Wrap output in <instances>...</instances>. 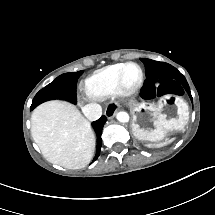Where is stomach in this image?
I'll list each match as a JSON object with an SVG mask.
<instances>
[{
    "label": "stomach",
    "mask_w": 215,
    "mask_h": 215,
    "mask_svg": "<svg viewBox=\"0 0 215 215\" xmlns=\"http://www.w3.org/2000/svg\"><path fill=\"white\" fill-rule=\"evenodd\" d=\"M129 105L133 135L146 143H168L170 136L188 123V105L180 96L166 95L156 102L131 101Z\"/></svg>",
    "instance_id": "obj_1"
}]
</instances>
